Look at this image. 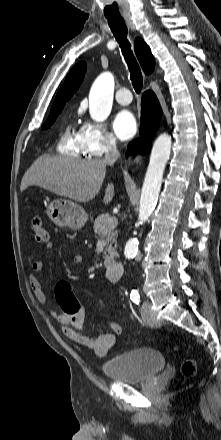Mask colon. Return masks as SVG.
I'll use <instances>...</instances> for the list:
<instances>
[{"label":"colon","instance_id":"colon-1","mask_svg":"<svg viewBox=\"0 0 221 440\" xmlns=\"http://www.w3.org/2000/svg\"><path fill=\"white\" fill-rule=\"evenodd\" d=\"M31 231L33 232L37 241L41 243H47L49 241L48 232L40 217L36 216L32 219L30 224ZM55 295L59 302V308L61 315H71V319H76V315L82 311L83 306L77 297H74L71 285L66 280L59 281L55 286ZM82 316L85 314L83 311L80 313ZM92 319H96L97 322H103L104 329H113L120 338L125 339L128 336L127 331L124 330L123 323L120 320L109 317H100L99 314H92ZM196 371V364L193 359L188 358L183 361L181 365V373L184 376H192Z\"/></svg>","mask_w":221,"mask_h":440}]
</instances>
